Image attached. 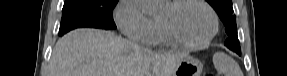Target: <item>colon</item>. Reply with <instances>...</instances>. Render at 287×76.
Listing matches in <instances>:
<instances>
[{"label":"colon","instance_id":"5ec220e1","mask_svg":"<svg viewBox=\"0 0 287 76\" xmlns=\"http://www.w3.org/2000/svg\"><path fill=\"white\" fill-rule=\"evenodd\" d=\"M207 76H213L212 74H208Z\"/></svg>","mask_w":287,"mask_h":76}]
</instances>
